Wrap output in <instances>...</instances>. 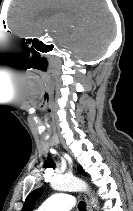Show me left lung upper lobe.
I'll return each instance as SVG.
<instances>
[{"instance_id":"left-lung-upper-lobe-1","label":"left lung upper lobe","mask_w":133,"mask_h":211,"mask_svg":"<svg viewBox=\"0 0 133 211\" xmlns=\"http://www.w3.org/2000/svg\"><path fill=\"white\" fill-rule=\"evenodd\" d=\"M80 173H84L82 168H78ZM42 190L37 189L31 192L28 197L25 200L24 206L22 208V211H31L35 201L38 199V197L41 195Z\"/></svg>"}]
</instances>
